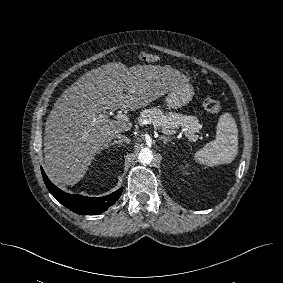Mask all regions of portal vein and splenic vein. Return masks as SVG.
Instances as JSON below:
<instances>
[{
	"label": "portal vein and splenic vein",
	"mask_w": 283,
	"mask_h": 283,
	"mask_svg": "<svg viewBox=\"0 0 283 283\" xmlns=\"http://www.w3.org/2000/svg\"><path fill=\"white\" fill-rule=\"evenodd\" d=\"M103 118H108V116L106 114H100L99 115V119H103ZM115 119L117 120H120V121H124V122H127L129 120L128 116L126 114H123V113H118L116 116H115ZM161 131L165 134H170L169 131L165 130V129H161ZM188 138L192 141H195L196 140V137L195 136H189L188 135Z\"/></svg>",
	"instance_id": "obj_1"
}]
</instances>
